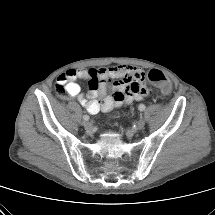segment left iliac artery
Listing matches in <instances>:
<instances>
[{
	"label": "left iliac artery",
	"instance_id": "44dca946",
	"mask_svg": "<svg viewBox=\"0 0 215 215\" xmlns=\"http://www.w3.org/2000/svg\"><path fill=\"white\" fill-rule=\"evenodd\" d=\"M138 108H139L140 111H144L145 110V105L144 104H140Z\"/></svg>",
	"mask_w": 215,
	"mask_h": 215
}]
</instances>
